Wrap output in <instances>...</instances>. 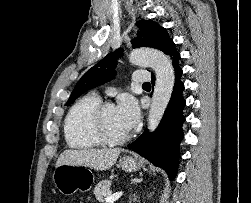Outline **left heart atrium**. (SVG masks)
Listing matches in <instances>:
<instances>
[{
	"instance_id": "39dd6f15",
	"label": "left heart atrium",
	"mask_w": 251,
	"mask_h": 203,
	"mask_svg": "<svg viewBox=\"0 0 251 203\" xmlns=\"http://www.w3.org/2000/svg\"><path fill=\"white\" fill-rule=\"evenodd\" d=\"M115 109L121 124L127 131H130L137 125L140 111L136 100L132 96H121Z\"/></svg>"
}]
</instances>
